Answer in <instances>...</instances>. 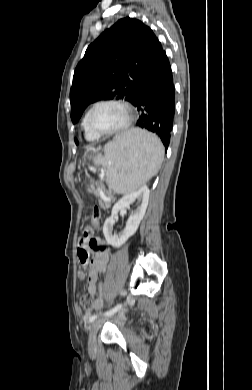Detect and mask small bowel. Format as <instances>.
I'll list each match as a JSON object with an SVG mask.
<instances>
[{
  "instance_id": "obj_1",
  "label": "small bowel",
  "mask_w": 252,
  "mask_h": 390,
  "mask_svg": "<svg viewBox=\"0 0 252 390\" xmlns=\"http://www.w3.org/2000/svg\"><path fill=\"white\" fill-rule=\"evenodd\" d=\"M94 251V257L89 260L90 252ZM79 261L83 254H86L88 259L84 263L88 270V292L94 296V310H100L103 305L104 289L102 285L97 286L98 276L100 273L106 271L109 261V250L106 244L97 236L93 234L92 229H86L83 236L79 239L77 250ZM97 293H99L98 296ZM89 315L86 314V317Z\"/></svg>"
}]
</instances>
